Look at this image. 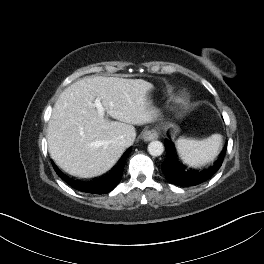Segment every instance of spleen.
<instances>
[{
  "mask_svg": "<svg viewBox=\"0 0 264 264\" xmlns=\"http://www.w3.org/2000/svg\"><path fill=\"white\" fill-rule=\"evenodd\" d=\"M181 158L194 166L205 165L213 161L222 146V136L213 134L204 140L179 138L176 141Z\"/></svg>",
  "mask_w": 264,
  "mask_h": 264,
  "instance_id": "1",
  "label": "spleen"
}]
</instances>
